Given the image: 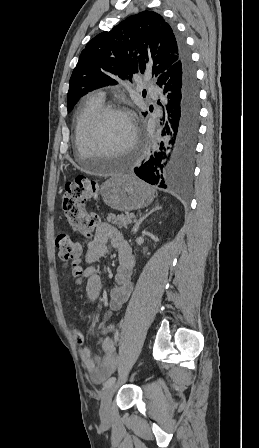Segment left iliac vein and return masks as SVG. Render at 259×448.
Instances as JSON below:
<instances>
[{"label":"left iliac vein","mask_w":259,"mask_h":448,"mask_svg":"<svg viewBox=\"0 0 259 448\" xmlns=\"http://www.w3.org/2000/svg\"><path fill=\"white\" fill-rule=\"evenodd\" d=\"M116 390V386L112 384L107 387L101 396V405H100V417L102 421L107 422L110 419V410H111V401Z\"/></svg>","instance_id":"left-iliac-vein-1"}]
</instances>
